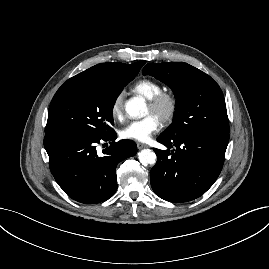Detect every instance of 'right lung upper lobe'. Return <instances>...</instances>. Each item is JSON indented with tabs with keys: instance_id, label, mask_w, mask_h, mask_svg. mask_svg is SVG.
Here are the masks:
<instances>
[{
	"instance_id": "cb5924a9",
	"label": "right lung upper lobe",
	"mask_w": 269,
	"mask_h": 269,
	"mask_svg": "<svg viewBox=\"0 0 269 269\" xmlns=\"http://www.w3.org/2000/svg\"><path fill=\"white\" fill-rule=\"evenodd\" d=\"M145 63V61L133 64L103 63L95 65L76 76H136Z\"/></svg>"
}]
</instances>
